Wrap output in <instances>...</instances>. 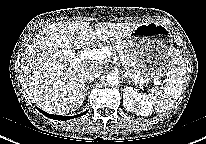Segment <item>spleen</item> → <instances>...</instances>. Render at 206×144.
Segmentation results:
<instances>
[{
    "label": "spleen",
    "mask_w": 206,
    "mask_h": 144,
    "mask_svg": "<svg viewBox=\"0 0 206 144\" xmlns=\"http://www.w3.org/2000/svg\"><path fill=\"white\" fill-rule=\"evenodd\" d=\"M175 51L170 62L167 79L163 81L161 86L150 89L147 96L152 106L159 113L168 110L177 101L183 89L186 68L178 50Z\"/></svg>",
    "instance_id": "spleen-1"
}]
</instances>
